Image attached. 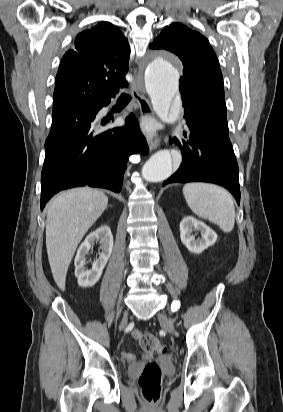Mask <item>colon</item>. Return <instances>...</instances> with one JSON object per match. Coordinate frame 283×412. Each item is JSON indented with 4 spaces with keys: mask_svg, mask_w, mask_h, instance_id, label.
Masks as SVG:
<instances>
[{
    "mask_svg": "<svg viewBox=\"0 0 283 412\" xmlns=\"http://www.w3.org/2000/svg\"><path fill=\"white\" fill-rule=\"evenodd\" d=\"M139 343L143 350L152 355H160L164 352V344L151 334H141ZM162 373L155 363H148L139 377V386L143 397L149 403L155 404L159 400L161 392Z\"/></svg>",
    "mask_w": 283,
    "mask_h": 412,
    "instance_id": "1",
    "label": "colon"
}]
</instances>
